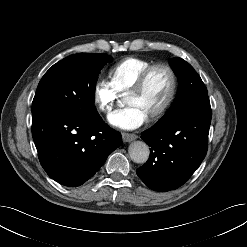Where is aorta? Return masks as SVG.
Listing matches in <instances>:
<instances>
[{
  "instance_id": "1",
  "label": "aorta",
  "mask_w": 247,
  "mask_h": 247,
  "mask_svg": "<svg viewBox=\"0 0 247 247\" xmlns=\"http://www.w3.org/2000/svg\"><path fill=\"white\" fill-rule=\"evenodd\" d=\"M128 152L132 161L138 164L145 163L150 154L148 145L143 141L132 142L129 145Z\"/></svg>"
}]
</instances>
